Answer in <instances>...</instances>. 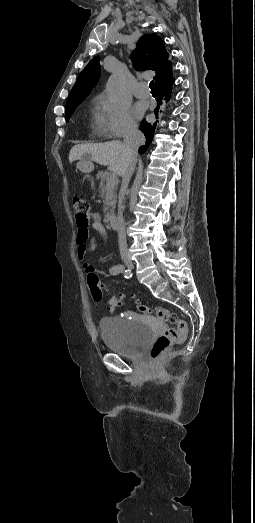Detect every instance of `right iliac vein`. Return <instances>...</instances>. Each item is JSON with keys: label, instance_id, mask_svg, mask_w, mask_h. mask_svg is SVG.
I'll use <instances>...</instances> for the list:
<instances>
[{"label": "right iliac vein", "instance_id": "63e3f726", "mask_svg": "<svg viewBox=\"0 0 255 523\" xmlns=\"http://www.w3.org/2000/svg\"><path fill=\"white\" fill-rule=\"evenodd\" d=\"M124 262H125V264H126V266H127L128 268H130V269H133V268H134L133 262H132L130 259H127V258H126V259L124 260Z\"/></svg>", "mask_w": 255, "mask_h": 523}]
</instances>
